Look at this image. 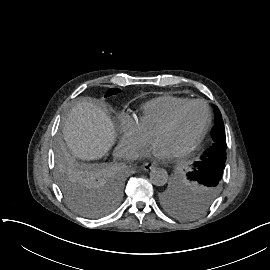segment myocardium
Returning <instances> with one entry per match:
<instances>
[{"mask_svg": "<svg viewBox=\"0 0 270 270\" xmlns=\"http://www.w3.org/2000/svg\"><path fill=\"white\" fill-rule=\"evenodd\" d=\"M202 105L204 107L205 110V121H204V125L199 133V135L196 137V139L185 149H183L182 151L178 152L176 155L178 157H184L187 156L188 154L192 153L202 142V140L204 139L210 122H211V113H210V109L208 107V105L206 104V102L202 101V100H192L189 103H187L186 105H184L183 107H181L179 110H177L167 121H165L163 124H161L154 132H153V137L155 138V136L164 130H168L172 127H174L178 121L180 120V118L182 117V115L192 106L194 105Z\"/></svg>", "mask_w": 270, "mask_h": 270, "instance_id": "myocardium-1", "label": "myocardium"}]
</instances>
